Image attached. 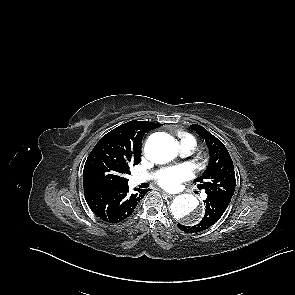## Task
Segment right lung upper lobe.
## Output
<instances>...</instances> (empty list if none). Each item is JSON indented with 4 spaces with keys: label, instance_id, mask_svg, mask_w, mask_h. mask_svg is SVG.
<instances>
[{
    "label": "right lung upper lobe",
    "instance_id": "cb5924a9",
    "mask_svg": "<svg viewBox=\"0 0 295 295\" xmlns=\"http://www.w3.org/2000/svg\"><path fill=\"white\" fill-rule=\"evenodd\" d=\"M160 126L162 124L133 120L113 129L104 135L100 141L113 142L132 154L140 155L141 141L144 134Z\"/></svg>",
    "mask_w": 295,
    "mask_h": 295
}]
</instances>
